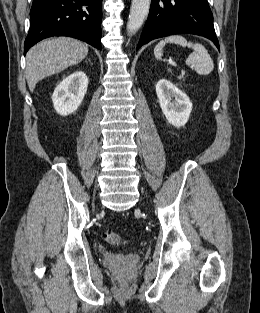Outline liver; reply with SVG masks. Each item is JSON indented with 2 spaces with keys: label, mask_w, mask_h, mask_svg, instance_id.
Segmentation results:
<instances>
[{
  "label": "liver",
  "mask_w": 260,
  "mask_h": 313,
  "mask_svg": "<svg viewBox=\"0 0 260 313\" xmlns=\"http://www.w3.org/2000/svg\"><path fill=\"white\" fill-rule=\"evenodd\" d=\"M88 54V46L73 38L45 39L32 47L26 55V79L31 92L45 77L81 62Z\"/></svg>",
  "instance_id": "6515ba94"
}]
</instances>
